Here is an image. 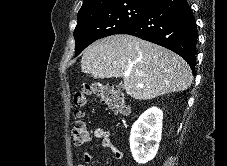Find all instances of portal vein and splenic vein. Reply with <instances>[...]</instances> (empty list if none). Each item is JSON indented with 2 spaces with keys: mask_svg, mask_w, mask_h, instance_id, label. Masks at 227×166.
Here are the masks:
<instances>
[{
  "mask_svg": "<svg viewBox=\"0 0 227 166\" xmlns=\"http://www.w3.org/2000/svg\"><path fill=\"white\" fill-rule=\"evenodd\" d=\"M128 76V74H125V77H127Z\"/></svg>",
  "mask_w": 227,
  "mask_h": 166,
  "instance_id": "1",
  "label": "portal vein and splenic vein"
}]
</instances>
